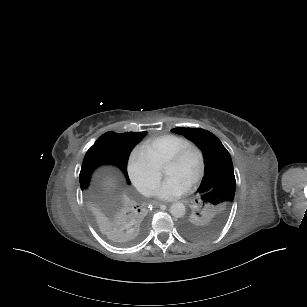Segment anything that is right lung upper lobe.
Listing matches in <instances>:
<instances>
[{
    "label": "right lung upper lobe",
    "instance_id": "right-lung-upper-lobe-1",
    "mask_svg": "<svg viewBox=\"0 0 307 307\" xmlns=\"http://www.w3.org/2000/svg\"><path fill=\"white\" fill-rule=\"evenodd\" d=\"M146 132H126L117 134L112 131L100 136L94 146L105 151L109 157L107 164L118 166L127 174V161L131 150L146 135ZM82 198L99 226L106 231L140 230L147 221L145 206L131 194L101 196L88 188L83 189Z\"/></svg>",
    "mask_w": 307,
    "mask_h": 307
}]
</instances>
